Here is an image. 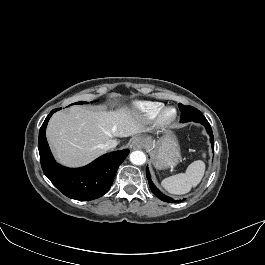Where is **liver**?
Returning <instances> with one entry per match:
<instances>
[{
	"mask_svg": "<svg viewBox=\"0 0 265 265\" xmlns=\"http://www.w3.org/2000/svg\"><path fill=\"white\" fill-rule=\"evenodd\" d=\"M146 131L135 112L122 107L116 111H93L74 106L55 113L46 130L56 159L63 165L79 167L104 153L108 140Z\"/></svg>",
	"mask_w": 265,
	"mask_h": 265,
	"instance_id": "1",
	"label": "liver"
}]
</instances>
